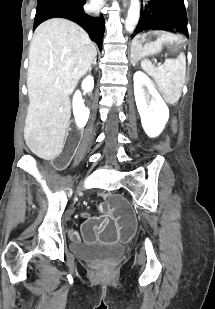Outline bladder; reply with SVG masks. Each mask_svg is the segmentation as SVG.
Here are the masks:
<instances>
[{
    "mask_svg": "<svg viewBox=\"0 0 215 309\" xmlns=\"http://www.w3.org/2000/svg\"><path fill=\"white\" fill-rule=\"evenodd\" d=\"M70 250L77 258L91 263L115 261L123 253L119 247L100 244L75 243Z\"/></svg>",
    "mask_w": 215,
    "mask_h": 309,
    "instance_id": "bladder-1",
    "label": "bladder"
}]
</instances>
